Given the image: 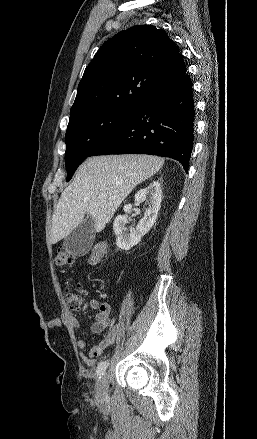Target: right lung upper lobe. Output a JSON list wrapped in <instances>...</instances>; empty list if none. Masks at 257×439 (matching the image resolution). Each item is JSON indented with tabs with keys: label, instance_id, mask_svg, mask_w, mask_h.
<instances>
[{
	"label": "right lung upper lobe",
	"instance_id": "right-lung-upper-lobe-1",
	"mask_svg": "<svg viewBox=\"0 0 257 439\" xmlns=\"http://www.w3.org/2000/svg\"><path fill=\"white\" fill-rule=\"evenodd\" d=\"M185 74L183 57L164 30L150 25L123 30L103 44L86 67L70 118L99 109L135 111Z\"/></svg>",
	"mask_w": 257,
	"mask_h": 439
}]
</instances>
